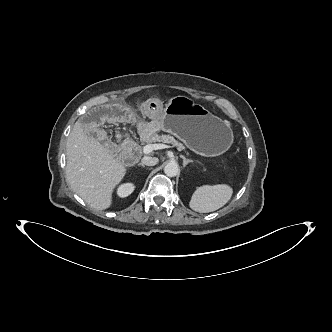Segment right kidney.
I'll return each instance as SVG.
<instances>
[{
	"label": "right kidney",
	"mask_w": 332,
	"mask_h": 332,
	"mask_svg": "<svg viewBox=\"0 0 332 332\" xmlns=\"http://www.w3.org/2000/svg\"><path fill=\"white\" fill-rule=\"evenodd\" d=\"M133 190H134L133 184L125 183L118 188V195L122 198L127 197L133 192Z\"/></svg>",
	"instance_id": "ca27d5eb"
}]
</instances>
